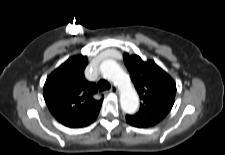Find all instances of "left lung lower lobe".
Segmentation results:
<instances>
[{
	"label": "left lung lower lobe",
	"mask_w": 225,
	"mask_h": 155,
	"mask_svg": "<svg viewBox=\"0 0 225 155\" xmlns=\"http://www.w3.org/2000/svg\"><path fill=\"white\" fill-rule=\"evenodd\" d=\"M126 121L131 125V121L129 120L127 116H126Z\"/></svg>",
	"instance_id": "obj_1"
}]
</instances>
